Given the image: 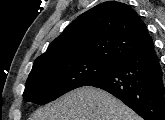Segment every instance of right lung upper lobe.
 <instances>
[{
  "label": "right lung upper lobe",
  "mask_w": 165,
  "mask_h": 120,
  "mask_svg": "<svg viewBox=\"0 0 165 120\" xmlns=\"http://www.w3.org/2000/svg\"><path fill=\"white\" fill-rule=\"evenodd\" d=\"M152 41L146 25L128 5L99 4L74 20L33 66L71 58L118 63Z\"/></svg>",
  "instance_id": "obj_1"
}]
</instances>
